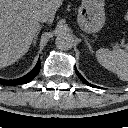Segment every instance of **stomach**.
<instances>
[{
  "label": "stomach",
  "instance_id": "stomach-1",
  "mask_svg": "<svg viewBox=\"0 0 128 128\" xmlns=\"http://www.w3.org/2000/svg\"><path fill=\"white\" fill-rule=\"evenodd\" d=\"M105 0H82L78 9V23L87 33H96L105 23Z\"/></svg>",
  "mask_w": 128,
  "mask_h": 128
}]
</instances>
